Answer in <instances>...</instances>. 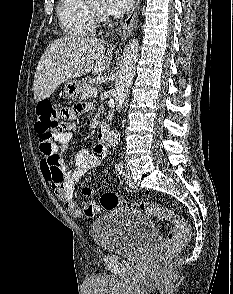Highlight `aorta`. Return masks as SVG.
<instances>
[{
  "instance_id": "aorta-1",
  "label": "aorta",
  "mask_w": 233,
  "mask_h": 294,
  "mask_svg": "<svg viewBox=\"0 0 233 294\" xmlns=\"http://www.w3.org/2000/svg\"><path fill=\"white\" fill-rule=\"evenodd\" d=\"M94 2L104 0H91ZM139 56V42L137 39H131L126 45L122 54L120 68L117 72L116 84L114 89V99L116 104V110L120 112L123 108V104L128 96L130 86L132 84L136 64ZM120 141V133L118 130L113 129L108 134V142L112 146H117Z\"/></svg>"
}]
</instances>
